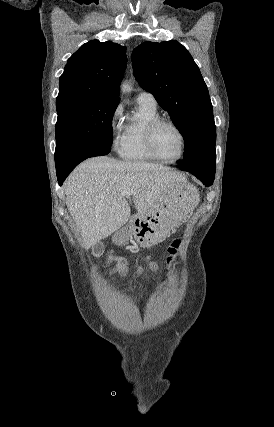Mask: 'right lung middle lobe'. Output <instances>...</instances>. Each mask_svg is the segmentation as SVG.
<instances>
[{"instance_id":"dd1d6c3e","label":"right lung middle lobe","mask_w":274,"mask_h":427,"mask_svg":"<svg viewBox=\"0 0 274 427\" xmlns=\"http://www.w3.org/2000/svg\"><path fill=\"white\" fill-rule=\"evenodd\" d=\"M119 100L85 99L57 106L56 168L93 149L112 146V118Z\"/></svg>"}]
</instances>
